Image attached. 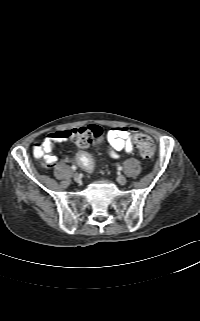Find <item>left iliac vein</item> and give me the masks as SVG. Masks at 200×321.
<instances>
[{
	"mask_svg": "<svg viewBox=\"0 0 200 321\" xmlns=\"http://www.w3.org/2000/svg\"><path fill=\"white\" fill-rule=\"evenodd\" d=\"M117 182H118L119 184H121V185H124V184L127 182V179H126L125 176L119 175V176L117 177Z\"/></svg>",
	"mask_w": 200,
	"mask_h": 321,
	"instance_id": "left-iliac-vein-1",
	"label": "left iliac vein"
}]
</instances>
